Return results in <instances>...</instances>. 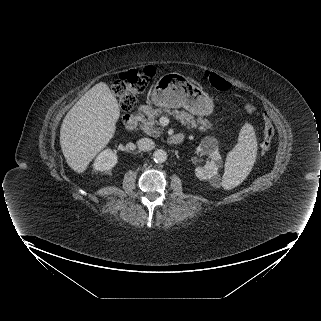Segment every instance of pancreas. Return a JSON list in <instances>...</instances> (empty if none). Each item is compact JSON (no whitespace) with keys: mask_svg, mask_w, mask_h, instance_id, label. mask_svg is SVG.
<instances>
[{"mask_svg":"<svg viewBox=\"0 0 321 321\" xmlns=\"http://www.w3.org/2000/svg\"><path fill=\"white\" fill-rule=\"evenodd\" d=\"M160 115H171L181 122L182 125L187 128H197L199 126L200 131H207L212 129L213 124L207 119L198 118L194 119V116L182 110L169 109H149L140 117V129L143 130L147 135L153 137H159L163 133V128L159 125L156 120Z\"/></svg>","mask_w":321,"mask_h":321,"instance_id":"1","label":"pancreas"}]
</instances>
